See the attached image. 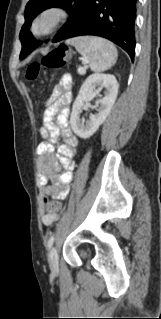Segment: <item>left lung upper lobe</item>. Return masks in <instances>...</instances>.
<instances>
[{
    "instance_id": "5c2ea615",
    "label": "left lung upper lobe",
    "mask_w": 161,
    "mask_h": 319,
    "mask_svg": "<svg viewBox=\"0 0 161 319\" xmlns=\"http://www.w3.org/2000/svg\"><path fill=\"white\" fill-rule=\"evenodd\" d=\"M91 0H30L25 8V24L20 32L23 54L30 46V51L38 46V42L33 41V36L29 31L31 21L43 10L51 7H60L71 15V18L65 23L63 28L55 35L53 42L61 41L65 35L73 28L77 21L85 13Z\"/></svg>"
}]
</instances>
